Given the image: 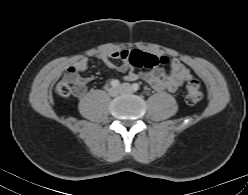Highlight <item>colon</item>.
I'll return each mask as SVG.
<instances>
[{"mask_svg":"<svg viewBox=\"0 0 248 195\" xmlns=\"http://www.w3.org/2000/svg\"><path fill=\"white\" fill-rule=\"evenodd\" d=\"M128 63L135 68H154L168 63V59L154 54L133 50L127 54ZM58 96L68 99L84 92L82 79L76 73L67 74L55 87ZM202 99L200 83L196 79H190L185 89V101L189 105H195Z\"/></svg>","mask_w":248,"mask_h":195,"instance_id":"1","label":"colon"}]
</instances>
